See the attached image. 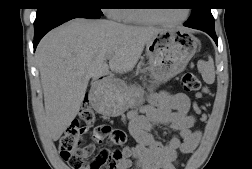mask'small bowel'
Returning a JSON list of instances; mask_svg holds the SVG:
<instances>
[{
  "label": "small bowel",
  "instance_id": "1",
  "mask_svg": "<svg viewBox=\"0 0 252 169\" xmlns=\"http://www.w3.org/2000/svg\"><path fill=\"white\" fill-rule=\"evenodd\" d=\"M127 120L135 145L113 152L112 169H129L132 159L136 169H176L178 153L192 152L200 141V132L191 129L195 118L190 114V99L183 92L151 91L148 104L130 111ZM155 125L176 131L167 145L153 135ZM94 139L102 141L95 134Z\"/></svg>",
  "mask_w": 252,
  "mask_h": 169
}]
</instances>
